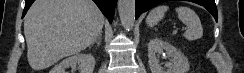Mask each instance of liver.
I'll return each mask as SVG.
<instances>
[{
  "label": "liver",
  "instance_id": "obj_1",
  "mask_svg": "<svg viewBox=\"0 0 244 73\" xmlns=\"http://www.w3.org/2000/svg\"><path fill=\"white\" fill-rule=\"evenodd\" d=\"M103 25L104 17L91 0H36L24 19L29 65L42 70L85 50Z\"/></svg>",
  "mask_w": 244,
  "mask_h": 73
}]
</instances>
